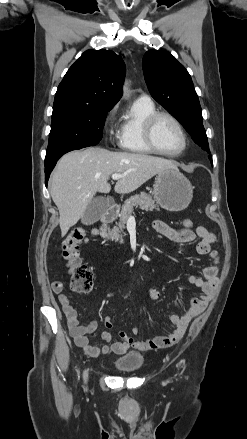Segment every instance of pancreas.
I'll use <instances>...</instances> for the list:
<instances>
[{
	"instance_id": "1",
	"label": "pancreas",
	"mask_w": 247,
	"mask_h": 439,
	"mask_svg": "<svg viewBox=\"0 0 247 439\" xmlns=\"http://www.w3.org/2000/svg\"><path fill=\"white\" fill-rule=\"evenodd\" d=\"M135 207H140L146 211L159 210V206L155 203V200H153L150 195L142 192L140 194L131 196L122 206L119 214V222L116 223V226H114L112 230H108L107 236L111 240H115L120 244L124 243L123 236L120 233L122 232V229L124 228L128 218L133 213V209Z\"/></svg>"
}]
</instances>
